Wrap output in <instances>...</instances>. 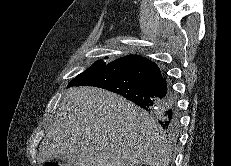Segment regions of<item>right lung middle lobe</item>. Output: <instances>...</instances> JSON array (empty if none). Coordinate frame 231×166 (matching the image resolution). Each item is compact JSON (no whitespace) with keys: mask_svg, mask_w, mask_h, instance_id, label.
<instances>
[{"mask_svg":"<svg viewBox=\"0 0 231 166\" xmlns=\"http://www.w3.org/2000/svg\"><path fill=\"white\" fill-rule=\"evenodd\" d=\"M106 58V57H105ZM108 62L104 60H98L93 65H91L87 70L76 76L68 85V87L75 86L85 78L101 70Z\"/></svg>","mask_w":231,"mask_h":166,"instance_id":"1","label":"right lung middle lobe"}]
</instances>
